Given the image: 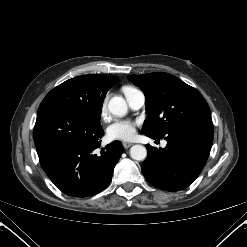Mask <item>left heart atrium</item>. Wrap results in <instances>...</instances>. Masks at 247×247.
<instances>
[{
	"mask_svg": "<svg viewBox=\"0 0 247 247\" xmlns=\"http://www.w3.org/2000/svg\"><path fill=\"white\" fill-rule=\"evenodd\" d=\"M135 133V123L130 120H118L107 128L111 140H130Z\"/></svg>",
	"mask_w": 247,
	"mask_h": 247,
	"instance_id": "1",
	"label": "left heart atrium"
}]
</instances>
